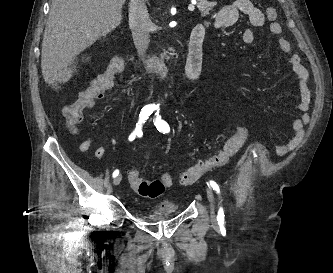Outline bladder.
<instances>
[{"label":"bladder","instance_id":"bladder-1","mask_svg":"<svg viewBox=\"0 0 333 273\" xmlns=\"http://www.w3.org/2000/svg\"><path fill=\"white\" fill-rule=\"evenodd\" d=\"M177 214V210L170 205H154L149 208L146 215H142L141 218L150 221H163Z\"/></svg>","mask_w":333,"mask_h":273}]
</instances>
